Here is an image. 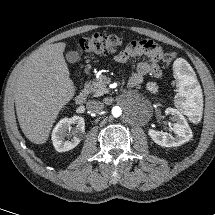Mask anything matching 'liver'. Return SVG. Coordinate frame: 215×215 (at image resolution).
<instances>
[{
    "label": "liver",
    "instance_id": "obj_1",
    "mask_svg": "<svg viewBox=\"0 0 215 215\" xmlns=\"http://www.w3.org/2000/svg\"><path fill=\"white\" fill-rule=\"evenodd\" d=\"M65 46L60 42L38 49L13 78L19 125L26 138L35 144L48 140L60 110L75 94L63 56Z\"/></svg>",
    "mask_w": 215,
    "mask_h": 215
}]
</instances>
